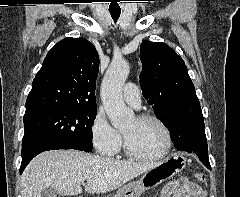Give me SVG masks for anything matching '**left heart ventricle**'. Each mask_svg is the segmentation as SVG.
Returning <instances> with one entry per match:
<instances>
[{
    "label": "left heart ventricle",
    "mask_w": 240,
    "mask_h": 197,
    "mask_svg": "<svg viewBox=\"0 0 240 197\" xmlns=\"http://www.w3.org/2000/svg\"><path fill=\"white\" fill-rule=\"evenodd\" d=\"M122 132L132 148L140 154L153 156L165 148V134L162 128L153 121H139L134 118Z\"/></svg>",
    "instance_id": "1"
}]
</instances>
